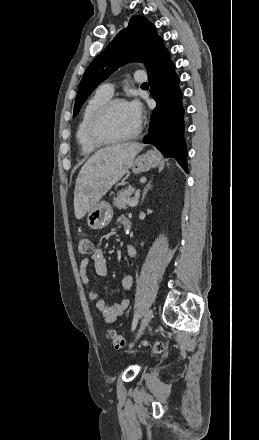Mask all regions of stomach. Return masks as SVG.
<instances>
[{
	"label": "stomach",
	"instance_id": "1",
	"mask_svg": "<svg viewBox=\"0 0 259 440\" xmlns=\"http://www.w3.org/2000/svg\"><path fill=\"white\" fill-rule=\"evenodd\" d=\"M160 162V155L156 151L150 150L134 159L131 166L132 172L135 174L147 172L157 167ZM112 218L113 209L111 205L106 201H100L89 210L87 224L91 229L100 230L107 227Z\"/></svg>",
	"mask_w": 259,
	"mask_h": 440
}]
</instances>
